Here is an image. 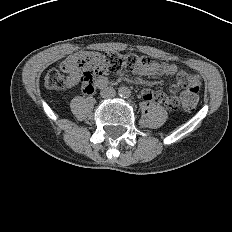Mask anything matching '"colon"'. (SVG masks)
<instances>
[{
    "label": "colon",
    "mask_w": 232,
    "mask_h": 232,
    "mask_svg": "<svg viewBox=\"0 0 232 232\" xmlns=\"http://www.w3.org/2000/svg\"><path fill=\"white\" fill-rule=\"evenodd\" d=\"M75 63L83 69L82 90L89 94L93 91L96 77L109 72H118L123 68L143 69L148 67L151 61L147 57L135 54L97 53L75 59ZM61 70L64 71L63 64ZM61 70L53 67L47 71L44 78L46 88L59 90L65 87L66 80ZM198 91V88L189 86L186 80H180L173 86L171 95L158 93L155 96V101L171 109L177 108L181 104L186 111H192L198 102Z\"/></svg>",
    "instance_id": "5ec220e1"
}]
</instances>
